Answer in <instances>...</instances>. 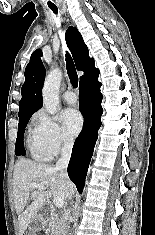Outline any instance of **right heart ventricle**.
<instances>
[{
  "instance_id": "1",
  "label": "right heart ventricle",
  "mask_w": 155,
  "mask_h": 235,
  "mask_svg": "<svg viewBox=\"0 0 155 235\" xmlns=\"http://www.w3.org/2000/svg\"><path fill=\"white\" fill-rule=\"evenodd\" d=\"M27 146L31 156L38 161H46L51 158V155L42 147L39 143L34 129L30 131L28 139H27Z\"/></svg>"
}]
</instances>
